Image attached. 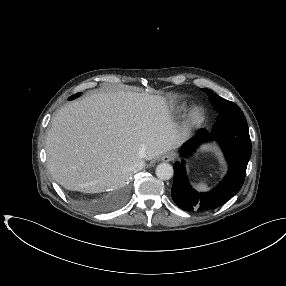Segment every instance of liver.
<instances>
[{"label": "liver", "instance_id": "obj_1", "mask_svg": "<svg viewBox=\"0 0 286 286\" xmlns=\"http://www.w3.org/2000/svg\"><path fill=\"white\" fill-rule=\"evenodd\" d=\"M164 97L98 92L57 112L47 134V165L64 188L100 193L123 187L136 165L183 141Z\"/></svg>", "mask_w": 286, "mask_h": 286}]
</instances>
